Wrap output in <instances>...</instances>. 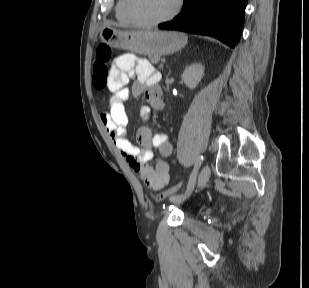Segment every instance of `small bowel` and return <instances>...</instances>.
<instances>
[{"mask_svg":"<svg viewBox=\"0 0 309 288\" xmlns=\"http://www.w3.org/2000/svg\"><path fill=\"white\" fill-rule=\"evenodd\" d=\"M158 74L146 59L134 54H123L115 59L111 70L108 89L107 110L101 114L116 148L121 152L130 168L138 173L145 185L153 191L162 189L169 181L170 166L166 161L172 155L173 145L168 135L143 126L136 131L138 146L127 137L128 117L125 103L131 98L143 95L146 105L140 106V114L147 119L151 111L164 109L162 91L157 84ZM135 78L131 88L129 81ZM157 150V157L154 151Z\"/></svg>","mask_w":309,"mask_h":288,"instance_id":"obj_1","label":"small bowel"}]
</instances>
